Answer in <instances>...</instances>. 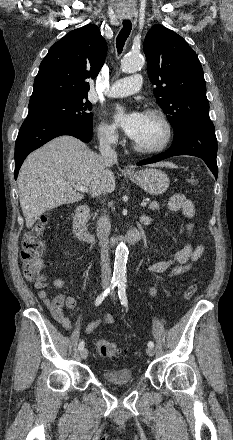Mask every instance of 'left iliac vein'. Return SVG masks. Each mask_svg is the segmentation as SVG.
Here are the masks:
<instances>
[{
  "instance_id": "4c4485c4",
  "label": "left iliac vein",
  "mask_w": 233,
  "mask_h": 440,
  "mask_svg": "<svg viewBox=\"0 0 233 440\" xmlns=\"http://www.w3.org/2000/svg\"><path fill=\"white\" fill-rule=\"evenodd\" d=\"M111 296L115 299V294H114V292L111 293ZM146 353H147L148 356H153V355H154V349H153L152 347H148V348L146 349Z\"/></svg>"
}]
</instances>
